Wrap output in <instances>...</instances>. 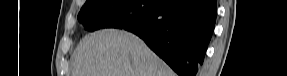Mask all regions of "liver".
<instances>
[{
	"label": "liver",
	"instance_id": "1",
	"mask_svg": "<svg viewBox=\"0 0 287 76\" xmlns=\"http://www.w3.org/2000/svg\"><path fill=\"white\" fill-rule=\"evenodd\" d=\"M72 61V76H175L139 37L123 30L86 35Z\"/></svg>",
	"mask_w": 287,
	"mask_h": 76
}]
</instances>
